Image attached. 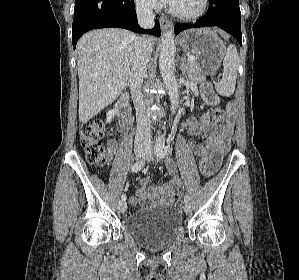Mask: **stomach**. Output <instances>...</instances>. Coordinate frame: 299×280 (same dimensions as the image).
Returning <instances> with one entry per match:
<instances>
[{
  "label": "stomach",
  "instance_id": "0dacf381",
  "mask_svg": "<svg viewBox=\"0 0 299 280\" xmlns=\"http://www.w3.org/2000/svg\"><path fill=\"white\" fill-rule=\"evenodd\" d=\"M179 43L186 52L196 56L204 74L216 72L226 52L225 43L210 28L188 30L181 35ZM202 90L207 97L213 96L209 83H203Z\"/></svg>",
  "mask_w": 299,
  "mask_h": 280
}]
</instances>
